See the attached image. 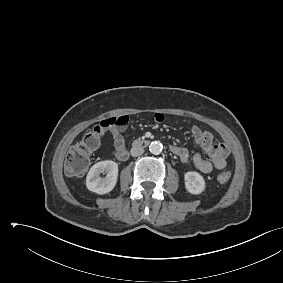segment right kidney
<instances>
[{"label": "right kidney", "mask_w": 283, "mask_h": 283, "mask_svg": "<svg viewBox=\"0 0 283 283\" xmlns=\"http://www.w3.org/2000/svg\"><path fill=\"white\" fill-rule=\"evenodd\" d=\"M106 173L101 177V173ZM118 177V165L114 161L105 160L93 165L86 177L87 188L97 194L103 195L112 191Z\"/></svg>", "instance_id": "1"}]
</instances>
